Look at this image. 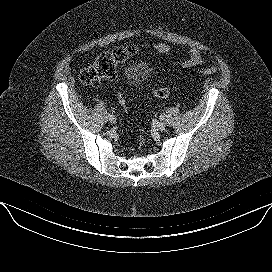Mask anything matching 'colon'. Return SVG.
<instances>
[{
  "label": "colon",
  "instance_id": "5ec220e1",
  "mask_svg": "<svg viewBox=\"0 0 272 272\" xmlns=\"http://www.w3.org/2000/svg\"><path fill=\"white\" fill-rule=\"evenodd\" d=\"M137 48L133 45L113 48L100 53L92 64L84 67L79 73L80 81L85 85H97L103 79L111 78L116 74L117 67L129 56L136 52ZM218 68L211 66L204 68L202 73L213 74ZM171 92L170 87L155 88L150 91L151 95L158 98L167 97ZM119 102L125 106V100L121 94L118 95Z\"/></svg>",
  "mask_w": 272,
  "mask_h": 272
}]
</instances>
